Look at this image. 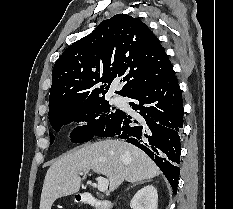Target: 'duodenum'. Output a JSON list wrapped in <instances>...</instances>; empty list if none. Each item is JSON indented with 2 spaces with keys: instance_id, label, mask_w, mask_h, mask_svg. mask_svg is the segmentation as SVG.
I'll list each match as a JSON object with an SVG mask.
<instances>
[{
  "instance_id": "1",
  "label": "duodenum",
  "mask_w": 233,
  "mask_h": 209,
  "mask_svg": "<svg viewBox=\"0 0 233 209\" xmlns=\"http://www.w3.org/2000/svg\"><path fill=\"white\" fill-rule=\"evenodd\" d=\"M78 200L82 204L89 205L95 209H111L113 206L111 201L98 199L90 193H82Z\"/></svg>"
}]
</instances>
